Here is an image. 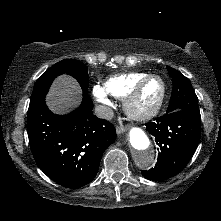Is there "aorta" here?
<instances>
[{"instance_id":"obj_1","label":"aorta","mask_w":221,"mask_h":221,"mask_svg":"<svg viewBox=\"0 0 221 221\" xmlns=\"http://www.w3.org/2000/svg\"><path fill=\"white\" fill-rule=\"evenodd\" d=\"M128 139L136 164L141 168L150 167L155 160V151L146 133L141 128L132 127Z\"/></svg>"}]
</instances>
